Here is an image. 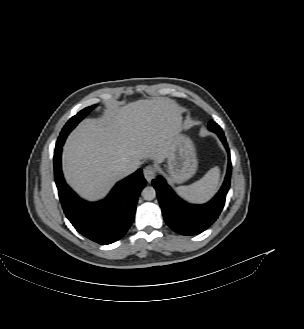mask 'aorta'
I'll return each mask as SVG.
<instances>
[{
    "instance_id": "obj_1",
    "label": "aorta",
    "mask_w": 304,
    "mask_h": 329,
    "mask_svg": "<svg viewBox=\"0 0 304 329\" xmlns=\"http://www.w3.org/2000/svg\"><path fill=\"white\" fill-rule=\"evenodd\" d=\"M142 197L145 200H153L156 197V191L153 187L147 186L142 191Z\"/></svg>"
}]
</instances>
